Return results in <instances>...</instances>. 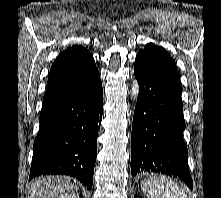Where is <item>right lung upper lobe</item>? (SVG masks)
I'll use <instances>...</instances> for the list:
<instances>
[{"label": "right lung upper lobe", "mask_w": 221, "mask_h": 198, "mask_svg": "<svg viewBox=\"0 0 221 198\" xmlns=\"http://www.w3.org/2000/svg\"><path fill=\"white\" fill-rule=\"evenodd\" d=\"M96 70L93 56L86 48L69 47L52 65L43 100L77 85Z\"/></svg>", "instance_id": "1"}]
</instances>
